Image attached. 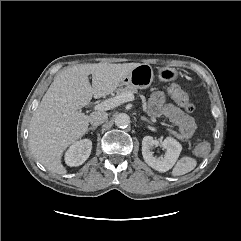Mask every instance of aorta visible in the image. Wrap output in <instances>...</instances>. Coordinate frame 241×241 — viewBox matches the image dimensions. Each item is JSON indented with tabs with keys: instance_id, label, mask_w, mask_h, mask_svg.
<instances>
[{
	"instance_id": "obj_1",
	"label": "aorta",
	"mask_w": 241,
	"mask_h": 241,
	"mask_svg": "<svg viewBox=\"0 0 241 241\" xmlns=\"http://www.w3.org/2000/svg\"><path fill=\"white\" fill-rule=\"evenodd\" d=\"M115 125L120 128H125L130 125V117L125 113H119L115 117Z\"/></svg>"
}]
</instances>
